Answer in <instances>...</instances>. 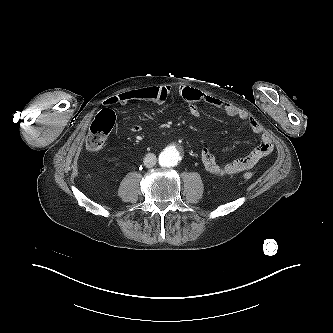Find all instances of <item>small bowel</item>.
<instances>
[{
	"label": "small bowel",
	"mask_w": 333,
	"mask_h": 333,
	"mask_svg": "<svg viewBox=\"0 0 333 333\" xmlns=\"http://www.w3.org/2000/svg\"><path fill=\"white\" fill-rule=\"evenodd\" d=\"M172 87L168 85L150 86L130 91H125L108 98L105 105L113 106L117 104H127L130 101H150L154 103H164L172 94ZM178 94L189 105L190 112L193 115L198 114L197 103L204 102L214 108L222 110L226 115L238 118L246 122L252 132L260 136L261 143L256 146L248 155L235 159L224 165H220L215 156L208 148L201 151V160L207 172L214 176L224 177L235 175L253 168L259 160L268 156L274 148L273 142L269 134L264 130L263 126L247 111L240 109L230 103H227L211 94L203 92L197 88L190 86H181ZM139 124H131L130 131L138 133L141 131Z\"/></svg>",
	"instance_id": "obj_1"
}]
</instances>
